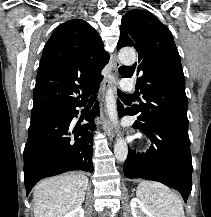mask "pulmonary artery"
<instances>
[{"instance_id":"1","label":"pulmonary artery","mask_w":211,"mask_h":217,"mask_svg":"<svg viewBox=\"0 0 211 217\" xmlns=\"http://www.w3.org/2000/svg\"><path fill=\"white\" fill-rule=\"evenodd\" d=\"M120 85H121V89L125 92L134 91V83L130 79H123Z\"/></svg>"}]
</instances>
